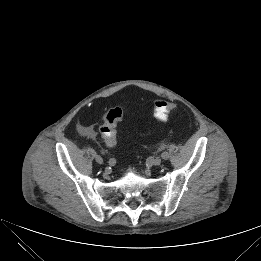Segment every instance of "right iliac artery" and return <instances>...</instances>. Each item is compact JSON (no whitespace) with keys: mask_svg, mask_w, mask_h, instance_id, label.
Segmentation results:
<instances>
[{"mask_svg":"<svg viewBox=\"0 0 261 261\" xmlns=\"http://www.w3.org/2000/svg\"><path fill=\"white\" fill-rule=\"evenodd\" d=\"M116 163V160L114 159V158H110L109 160H108V164L109 165H114Z\"/></svg>","mask_w":261,"mask_h":261,"instance_id":"82829eb1","label":"right iliac artery"}]
</instances>
